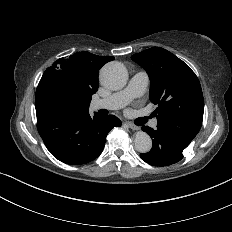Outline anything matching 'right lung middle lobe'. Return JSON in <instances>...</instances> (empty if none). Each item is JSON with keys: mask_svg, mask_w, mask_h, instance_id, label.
I'll return each mask as SVG.
<instances>
[{"mask_svg": "<svg viewBox=\"0 0 232 232\" xmlns=\"http://www.w3.org/2000/svg\"><path fill=\"white\" fill-rule=\"evenodd\" d=\"M42 94L48 102L74 110H88L91 96L67 76L56 71H45L40 82Z\"/></svg>", "mask_w": 232, "mask_h": 232, "instance_id": "dd1d6c3e", "label": "right lung middle lobe"}]
</instances>
